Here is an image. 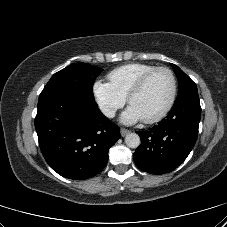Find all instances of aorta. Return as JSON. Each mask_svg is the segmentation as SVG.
<instances>
[{
    "label": "aorta",
    "instance_id": "obj_1",
    "mask_svg": "<svg viewBox=\"0 0 227 227\" xmlns=\"http://www.w3.org/2000/svg\"><path fill=\"white\" fill-rule=\"evenodd\" d=\"M125 143L130 148H137L140 145V137L136 133H129L125 137Z\"/></svg>",
    "mask_w": 227,
    "mask_h": 227
}]
</instances>
